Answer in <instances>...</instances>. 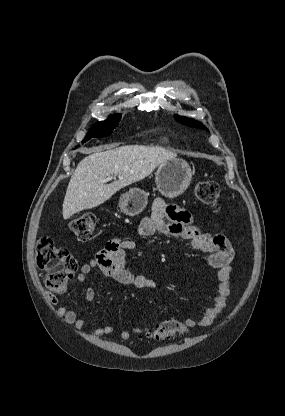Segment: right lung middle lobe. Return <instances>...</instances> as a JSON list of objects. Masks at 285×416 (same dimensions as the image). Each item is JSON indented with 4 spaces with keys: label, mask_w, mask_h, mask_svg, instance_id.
I'll list each match as a JSON object with an SVG mask.
<instances>
[{
    "label": "right lung middle lobe",
    "mask_w": 285,
    "mask_h": 416,
    "mask_svg": "<svg viewBox=\"0 0 285 416\" xmlns=\"http://www.w3.org/2000/svg\"><path fill=\"white\" fill-rule=\"evenodd\" d=\"M120 119L121 114L111 115L105 122H100L92 126L83 142L88 141L90 138H101L111 135L112 130L117 127Z\"/></svg>",
    "instance_id": "right-lung-middle-lobe-1"
}]
</instances>
